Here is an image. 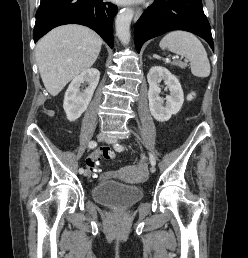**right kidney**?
Returning a JSON list of instances; mask_svg holds the SVG:
<instances>
[{
  "label": "right kidney",
  "mask_w": 248,
  "mask_h": 258,
  "mask_svg": "<svg viewBox=\"0 0 248 258\" xmlns=\"http://www.w3.org/2000/svg\"><path fill=\"white\" fill-rule=\"evenodd\" d=\"M100 72L96 68L83 71L70 83L64 96L63 108L69 121L77 120L87 109L93 93L98 85ZM88 83V87L80 92L82 83Z\"/></svg>",
  "instance_id": "obj_1"
}]
</instances>
